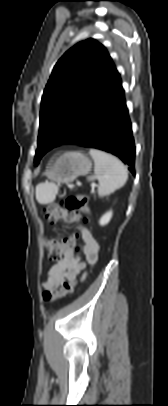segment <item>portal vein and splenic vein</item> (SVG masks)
<instances>
[{"label":"portal vein and splenic vein","instance_id":"obj_1","mask_svg":"<svg viewBox=\"0 0 168 406\" xmlns=\"http://www.w3.org/2000/svg\"><path fill=\"white\" fill-rule=\"evenodd\" d=\"M91 187H92V188H95V187H96V184H95V183H92V184H91Z\"/></svg>","mask_w":168,"mask_h":406}]
</instances>
